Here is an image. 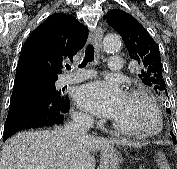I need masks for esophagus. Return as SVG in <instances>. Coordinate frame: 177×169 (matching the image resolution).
Masks as SVG:
<instances>
[{"label": "esophagus", "mask_w": 177, "mask_h": 169, "mask_svg": "<svg viewBox=\"0 0 177 169\" xmlns=\"http://www.w3.org/2000/svg\"><path fill=\"white\" fill-rule=\"evenodd\" d=\"M102 39L103 30L100 27L94 29L90 34V41L94 44L98 51L102 49Z\"/></svg>", "instance_id": "34e87169"}]
</instances>
